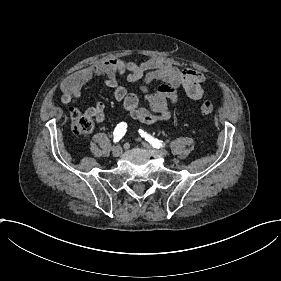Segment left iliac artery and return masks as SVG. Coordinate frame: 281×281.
I'll list each match as a JSON object with an SVG mask.
<instances>
[{
  "instance_id": "obj_1",
  "label": "left iliac artery",
  "mask_w": 281,
  "mask_h": 281,
  "mask_svg": "<svg viewBox=\"0 0 281 281\" xmlns=\"http://www.w3.org/2000/svg\"><path fill=\"white\" fill-rule=\"evenodd\" d=\"M139 133L141 134V137H144L146 141H148L154 148L159 149L162 146V141H159L158 139L153 138L143 130L139 129Z\"/></svg>"
}]
</instances>
